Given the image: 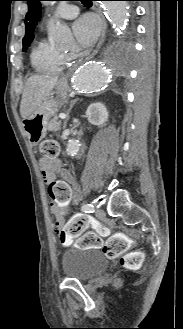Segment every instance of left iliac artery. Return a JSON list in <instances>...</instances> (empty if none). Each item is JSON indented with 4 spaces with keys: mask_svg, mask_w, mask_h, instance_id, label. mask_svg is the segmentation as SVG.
Wrapping results in <instances>:
<instances>
[{
    "mask_svg": "<svg viewBox=\"0 0 183 329\" xmlns=\"http://www.w3.org/2000/svg\"><path fill=\"white\" fill-rule=\"evenodd\" d=\"M82 211L85 213H93L94 212V206L92 204H84L82 206Z\"/></svg>",
    "mask_w": 183,
    "mask_h": 329,
    "instance_id": "1",
    "label": "left iliac artery"
}]
</instances>
